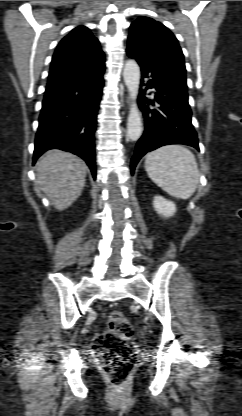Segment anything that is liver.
Returning a JSON list of instances; mask_svg holds the SVG:
<instances>
[{"mask_svg":"<svg viewBox=\"0 0 242 416\" xmlns=\"http://www.w3.org/2000/svg\"><path fill=\"white\" fill-rule=\"evenodd\" d=\"M86 164L62 150L44 153L36 164L37 184L54 207L61 211L80 196L85 185Z\"/></svg>","mask_w":242,"mask_h":416,"instance_id":"1","label":"liver"}]
</instances>
